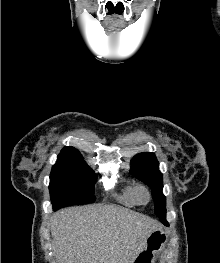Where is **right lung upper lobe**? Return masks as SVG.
<instances>
[{
  "instance_id": "right-lung-upper-lobe-1",
  "label": "right lung upper lobe",
  "mask_w": 220,
  "mask_h": 263,
  "mask_svg": "<svg viewBox=\"0 0 220 263\" xmlns=\"http://www.w3.org/2000/svg\"><path fill=\"white\" fill-rule=\"evenodd\" d=\"M60 154H80L78 150L73 147H65Z\"/></svg>"
}]
</instances>
